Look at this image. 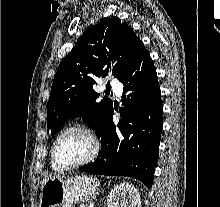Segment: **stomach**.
I'll list each match as a JSON object with an SVG mask.
<instances>
[{"label":"stomach","instance_id":"stomach-1","mask_svg":"<svg viewBox=\"0 0 220 207\" xmlns=\"http://www.w3.org/2000/svg\"><path fill=\"white\" fill-rule=\"evenodd\" d=\"M98 189V180L90 175L54 176L41 188L39 207H74L76 203L89 200Z\"/></svg>","mask_w":220,"mask_h":207}]
</instances>
